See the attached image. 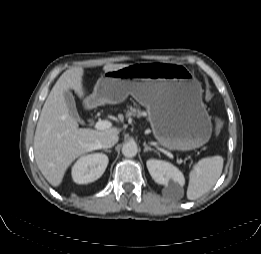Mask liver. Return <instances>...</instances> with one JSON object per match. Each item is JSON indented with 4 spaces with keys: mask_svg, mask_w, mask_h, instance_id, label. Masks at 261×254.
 Here are the masks:
<instances>
[{
    "mask_svg": "<svg viewBox=\"0 0 261 254\" xmlns=\"http://www.w3.org/2000/svg\"><path fill=\"white\" fill-rule=\"evenodd\" d=\"M126 66L128 64H106L103 70L108 72ZM83 75L82 67H74L59 77L43 105L37 123L34 136L35 160L45 179L54 187L61 184L67 168L76 158L100 149L98 143L105 135L119 133L116 127L106 130L79 128L77 121L69 114L64 92L72 89L79 98H83Z\"/></svg>",
    "mask_w": 261,
    "mask_h": 254,
    "instance_id": "1",
    "label": "liver"
}]
</instances>
